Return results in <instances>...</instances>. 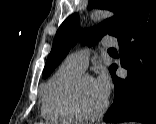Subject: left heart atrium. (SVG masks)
Instances as JSON below:
<instances>
[{"label":"left heart atrium","mask_w":156,"mask_h":124,"mask_svg":"<svg viewBox=\"0 0 156 124\" xmlns=\"http://www.w3.org/2000/svg\"><path fill=\"white\" fill-rule=\"evenodd\" d=\"M93 80L98 91L101 93V95L105 99H107L109 96L110 87H111L108 74L105 71H101L100 74Z\"/></svg>","instance_id":"obj_1"}]
</instances>
